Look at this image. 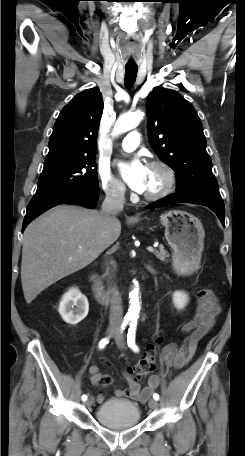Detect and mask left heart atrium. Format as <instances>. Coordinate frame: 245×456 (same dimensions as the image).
I'll list each match as a JSON object with an SVG mask.
<instances>
[{"label": "left heart atrium", "instance_id": "1", "mask_svg": "<svg viewBox=\"0 0 245 456\" xmlns=\"http://www.w3.org/2000/svg\"><path fill=\"white\" fill-rule=\"evenodd\" d=\"M120 172L127 184L136 192L142 193L146 186L147 167L138 159L121 163Z\"/></svg>", "mask_w": 245, "mask_h": 456}]
</instances>
